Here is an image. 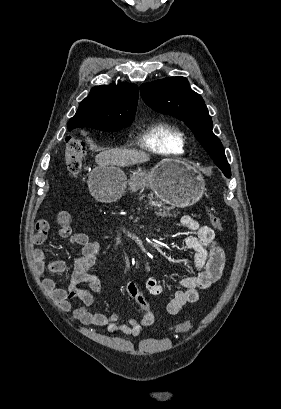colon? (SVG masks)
<instances>
[{
  "instance_id": "colon-1",
  "label": "colon",
  "mask_w": 281,
  "mask_h": 409,
  "mask_svg": "<svg viewBox=\"0 0 281 409\" xmlns=\"http://www.w3.org/2000/svg\"><path fill=\"white\" fill-rule=\"evenodd\" d=\"M83 157H84V145L80 141L70 138L67 142L65 153H64V159H65V163L67 165L68 170L70 172H75L79 170L83 162ZM209 220L216 229L218 230L222 229V221H221L220 216L217 213L210 212ZM187 327L191 328L192 324L191 323L187 324L186 322L180 323L181 329H186ZM182 332H186V331H182ZM173 333L177 334L178 330L174 329Z\"/></svg>"
}]
</instances>
